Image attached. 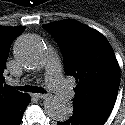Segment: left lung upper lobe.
I'll return each instance as SVG.
<instances>
[{"label":"left lung upper lobe","mask_w":125,"mask_h":125,"mask_svg":"<svg viewBox=\"0 0 125 125\" xmlns=\"http://www.w3.org/2000/svg\"><path fill=\"white\" fill-rule=\"evenodd\" d=\"M43 27L60 45L65 73L76 79L74 110L107 119L120 84L119 65L107 39L75 20L55 21Z\"/></svg>","instance_id":"obj_1"}]
</instances>
